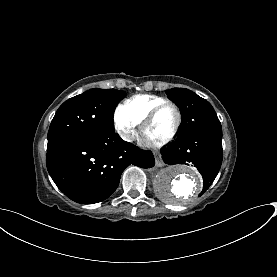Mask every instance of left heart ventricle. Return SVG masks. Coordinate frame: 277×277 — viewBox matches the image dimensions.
<instances>
[{
    "label": "left heart ventricle",
    "mask_w": 277,
    "mask_h": 277,
    "mask_svg": "<svg viewBox=\"0 0 277 277\" xmlns=\"http://www.w3.org/2000/svg\"><path fill=\"white\" fill-rule=\"evenodd\" d=\"M177 121V114L173 107L163 109L154 123L146 130L145 138L150 142H157L167 137Z\"/></svg>",
    "instance_id": "1"
}]
</instances>
